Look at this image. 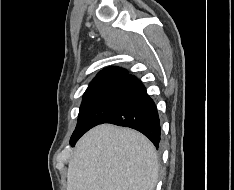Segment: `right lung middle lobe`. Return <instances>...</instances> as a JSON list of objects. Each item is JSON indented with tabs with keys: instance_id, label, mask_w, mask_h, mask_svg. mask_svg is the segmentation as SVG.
Segmentation results:
<instances>
[{
	"instance_id": "obj_1",
	"label": "right lung middle lobe",
	"mask_w": 234,
	"mask_h": 190,
	"mask_svg": "<svg viewBox=\"0 0 234 190\" xmlns=\"http://www.w3.org/2000/svg\"><path fill=\"white\" fill-rule=\"evenodd\" d=\"M126 80H118L88 88L83 96L78 123L71 140L81 137L92 127L100 124L120 96Z\"/></svg>"
}]
</instances>
